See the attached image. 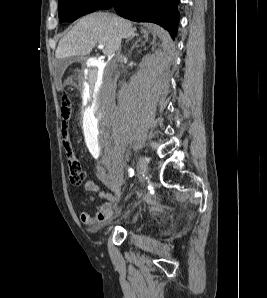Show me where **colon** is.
<instances>
[{
	"label": "colon",
	"instance_id": "obj_1",
	"mask_svg": "<svg viewBox=\"0 0 267 298\" xmlns=\"http://www.w3.org/2000/svg\"><path fill=\"white\" fill-rule=\"evenodd\" d=\"M62 109L65 110L63 111V115L65 116V118H67L70 113V108L69 104L66 101L63 103ZM62 135L63 146L67 155L70 182L73 185H81L86 178V172L83 169L81 162L75 157L73 153L72 146L66 133L65 127L62 129Z\"/></svg>",
	"mask_w": 267,
	"mask_h": 298
}]
</instances>
